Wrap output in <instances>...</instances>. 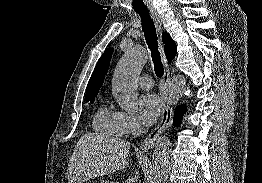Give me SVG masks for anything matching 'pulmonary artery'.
Segmentation results:
<instances>
[{
    "label": "pulmonary artery",
    "mask_w": 262,
    "mask_h": 183,
    "mask_svg": "<svg viewBox=\"0 0 262 183\" xmlns=\"http://www.w3.org/2000/svg\"><path fill=\"white\" fill-rule=\"evenodd\" d=\"M138 84L140 85L141 88L148 90L153 87L154 81L152 76L142 75L138 80Z\"/></svg>",
    "instance_id": "1"
}]
</instances>
